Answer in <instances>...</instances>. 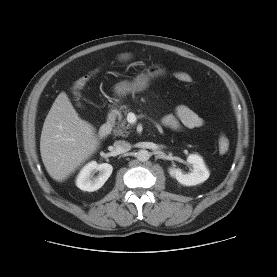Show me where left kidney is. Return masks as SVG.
Masks as SVG:
<instances>
[{"instance_id":"5707ae66","label":"left kidney","mask_w":277,"mask_h":277,"mask_svg":"<svg viewBox=\"0 0 277 277\" xmlns=\"http://www.w3.org/2000/svg\"><path fill=\"white\" fill-rule=\"evenodd\" d=\"M187 162L192 165L191 172L184 174L181 169L169 168L172 177L186 186H194L203 183L209 178L210 171L205 165L203 158L198 154H190Z\"/></svg>"}]
</instances>
